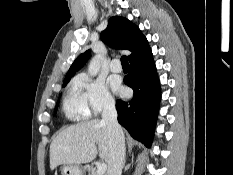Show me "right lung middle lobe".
I'll use <instances>...</instances> for the list:
<instances>
[{
	"label": "right lung middle lobe",
	"mask_w": 233,
	"mask_h": 175,
	"mask_svg": "<svg viewBox=\"0 0 233 175\" xmlns=\"http://www.w3.org/2000/svg\"><path fill=\"white\" fill-rule=\"evenodd\" d=\"M69 82V80H65L63 83V87L66 86V84Z\"/></svg>",
	"instance_id": "obj_1"
}]
</instances>
